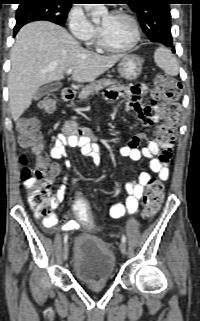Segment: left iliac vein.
Segmentation results:
<instances>
[{
	"label": "left iliac vein",
	"instance_id": "1",
	"mask_svg": "<svg viewBox=\"0 0 200 321\" xmlns=\"http://www.w3.org/2000/svg\"><path fill=\"white\" fill-rule=\"evenodd\" d=\"M126 250H127V247H126V244L125 243H121L120 244V251L122 254H125L126 253Z\"/></svg>",
	"mask_w": 200,
	"mask_h": 321
}]
</instances>
